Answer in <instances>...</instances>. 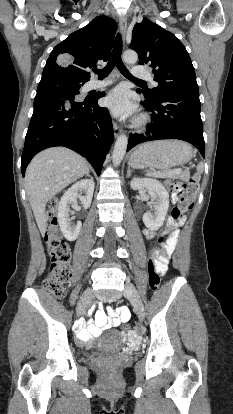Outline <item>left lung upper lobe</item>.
I'll list each match as a JSON object with an SVG mask.
<instances>
[{
	"instance_id": "left-lung-upper-lobe-1",
	"label": "left lung upper lobe",
	"mask_w": 233,
	"mask_h": 414,
	"mask_svg": "<svg viewBox=\"0 0 233 414\" xmlns=\"http://www.w3.org/2000/svg\"><path fill=\"white\" fill-rule=\"evenodd\" d=\"M130 47L138 53L139 64H150L158 86L141 91L151 102L177 91H198L195 70L184 45L172 33L143 18L132 31Z\"/></svg>"
}]
</instances>
